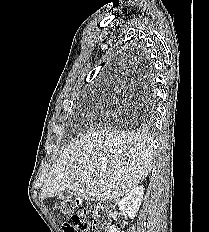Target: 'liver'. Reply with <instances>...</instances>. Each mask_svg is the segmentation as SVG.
I'll list each match as a JSON object with an SVG mask.
<instances>
[{
	"label": "liver",
	"instance_id": "liver-1",
	"mask_svg": "<svg viewBox=\"0 0 209 232\" xmlns=\"http://www.w3.org/2000/svg\"><path fill=\"white\" fill-rule=\"evenodd\" d=\"M152 163L153 144L146 132L94 130L61 153L40 197L65 192L87 201L116 200L148 176Z\"/></svg>",
	"mask_w": 209,
	"mask_h": 232
}]
</instances>
